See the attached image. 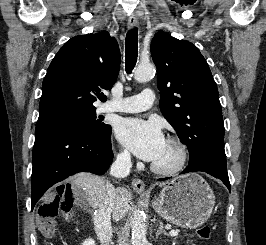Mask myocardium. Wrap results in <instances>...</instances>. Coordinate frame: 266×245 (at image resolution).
Wrapping results in <instances>:
<instances>
[{
	"label": "myocardium",
	"mask_w": 266,
	"mask_h": 245,
	"mask_svg": "<svg viewBox=\"0 0 266 245\" xmlns=\"http://www.w3.org/2000/svg\"><path fill=\"white\" fill-rule=\"evenodd\" d=\"M166 141L175 144L179 148L180 157L177 165L170 169H163L152 163L150 169L157 175L174 176L184 170L189 158V152L186 144L179 138L169 137Z\"/></svg>",
	"instance_id": "f54148a6"
}]
</instances>
